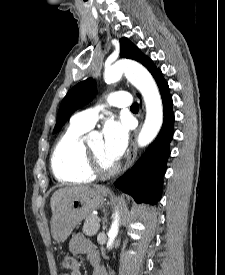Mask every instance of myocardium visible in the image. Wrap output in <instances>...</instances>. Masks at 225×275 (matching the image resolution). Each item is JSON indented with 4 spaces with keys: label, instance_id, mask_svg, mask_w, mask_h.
<instances>
[{
    "label": "myocardium",
    "instance_id": "obj_1",
    "mask_svg": "<svg viewBox=\"0 0 225 275\" xmlns=\"http://www.w3.org/2000/svg\"><path fill=\"white\" fill-rule=\"evenodd\" d=\"M84 153L86 157V167L94 176H109L117 171V164H113L110 167L103 166L87 145H84Z\"/></svg>",
    "mask_w": 225,
    "mask_h": 275
}]
</instances>
